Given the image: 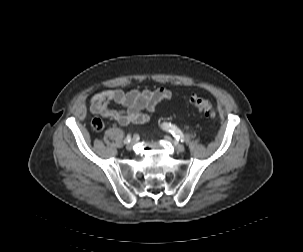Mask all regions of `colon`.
<instances>
[{"label":"colon","instance_id":"colon-1","mask_svg":"<svg viewBox=\"0 0 303 252\" xmlns=\"http://www.w3.org/2000/svg\"><path fill=\"white\" fill-rule=\"evenodd\" d=\"M190 104L194 105L199 112L204 113L206 116L214 118L216 115L215 109L210 101L197 97L196 95H190L185 98ZM93 130L99 132L104 128V124L100 119H93Z\"/></svg>","mask_w":303,"mask_h":252}]
</instances>
